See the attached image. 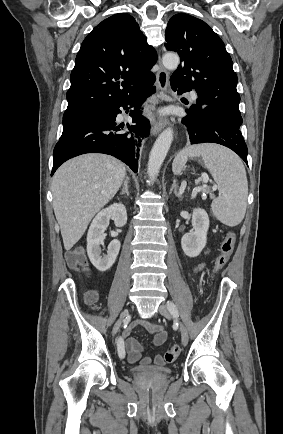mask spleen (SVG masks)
Listing matches in <instances>:
<instances>
[{
    "label": "spleen",
    "mask_w": 283,
    "mask_h": 434,
    "mask_svg": "<svg viewBox=\"0 0 283 434\" xmlns=\"http://www.w3.org/2000/svg\"><path fill=\"white\" fill-rule=\"evenodd\" d=\"M188 157H202L219 187V196L211 204L216 218L230 227L240 224L246 213L248 196L247 176L241 159L220 145H194L175 157L172 164L175 175L182 173Z\"/></svg>",
    "instance_id": "1"
}]
</instances>
